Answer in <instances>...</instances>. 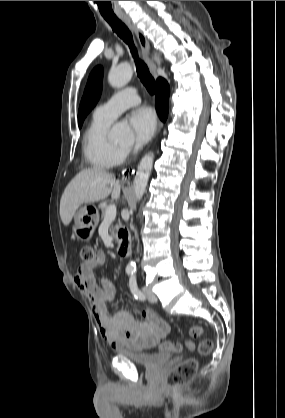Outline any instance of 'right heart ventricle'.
<instances>
[{"instance_id":"e07e8e85","label":"right heart ventricle","mask_w":285,"mask_h":418,"mask_svg":"<svg viewBox=\"0 0 285 418\" xmlns=\"http://www.w3.org/2000/svg\"><path fill=\"white\" fill-rule=\"evenodd\" d=\"M111 123L94 116L86 131L83 150L87 162L93 168H110L122 160L119 147L108 138Z\"/></svg>"}]
</instances>
